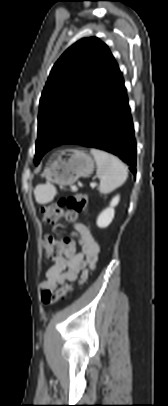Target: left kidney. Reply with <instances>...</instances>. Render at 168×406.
I'll return each mask as SVG.
<instances>
[{
    "label": "left kidney",
    "instance_id": "5707ae66",
    "mask_svg": "<svg viewBox=\"0 0 168 406\" xmlns=\"http://www.w3.org/2000/svg\"><path fill=\"white\" fill-rule=\"evenodd\" d=\"M120 197L115 196L110 202V206L103 210L97 218V226L100 228H106L110 225L114 218V207L119 203Z\"/></svg>",
    "mask_w": 168,
    "mask_h": 406
}]
</instances>
